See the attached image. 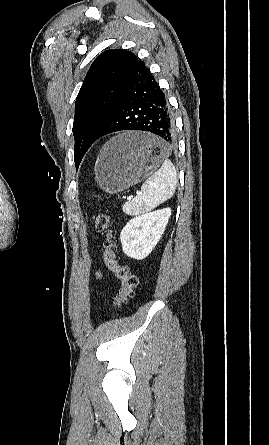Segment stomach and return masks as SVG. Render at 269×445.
Returning <instances> with one entry per match:
<instances>
[{
	"label": "stomach",
	"mask_w": 269,
	"mask_h": 445,
	"mask_svg": "<svg viewBox=\"0 0 269 445\" xmlns=\"http://www.w3.org/2000/svg\"><path fill=\"white\" fill-rule=\"evenodd\" d=\"M163 140L142 132H125L101 149L95 178L106 192H122L153 173L165 157Z\"/></svg>",
	"instance_id": "1"
}]
</instances>
